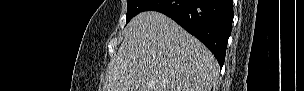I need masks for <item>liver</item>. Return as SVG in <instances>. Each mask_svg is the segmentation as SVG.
<instances>
[{"label":"liver","mask_w":304,"mask_h":91,"mask_svg":"<svg viewBox=\"0 0 304 91\" xmlns=\"http://www.w3.org/2000/svg\"><path fill=\"white\" fill-rule=\"evenodd\" d=\"M219 65L214 55L169 17L135 16L108 65L104 91H211Z\"/></svg>","instance_id":"liver-1"}]
</instances>
